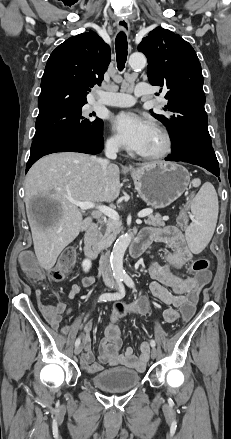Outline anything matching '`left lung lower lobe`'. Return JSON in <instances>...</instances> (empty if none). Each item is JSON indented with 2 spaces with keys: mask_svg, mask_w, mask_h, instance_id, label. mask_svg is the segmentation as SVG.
I'll return each instance as SVG.
<instances>
[{
  "mask_svg": "<svg viewBox=\"0 0 231 439\" xmlns=\"http://www.w3.org/2000/svg\"><path fill=\"white\" fill-rule=\"evenodd\" d=\"M166 161H182L201 166L215 176L219 177V164L212 148V145L200 142H186L180 146L173 147L171 155L165 158Z\"/></svg>",
  "mask_w": 231,
  "mask_h": 439,
  "instance_id": "0a47b994",
  "label": "left lung lower lobe"
}]
</instances>
